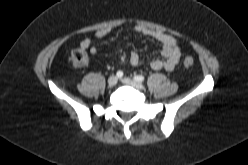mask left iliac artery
I'll list each match as a JSON object with an SVG mask.
<instances>
[{
  "label": "left iliac artery",
  "instance_id": "obj_1",
  "mask_svg": "<svg viewBox=\"0 0 248 165\" xmlns=\"http://www.w3.org/2000/svg\"><path fill=\"white\" fill-rule=\"evenodd\" d=\"M144 76H142V75H135L134 76V80L135 81H138V82H143L144 81Z\"/></svg>",
  "mask_w": 248,
  "mask_h": 165
}]
</instances>
